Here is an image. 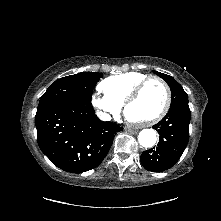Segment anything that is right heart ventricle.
<instances>
[{"label": "right heart ventricle", "mask_w": 221, "mask_h": 221, "mask_svg": "<svg viewBox=\"0 0 221 221\" xmlns=\"http://www.w3.org/2000/svg\"><path fill=\"white\" fill-rule=\"evenodd\" d=\"M147 77L140 72H126L104 79L99 88L105 96L122 106L131 91Z\"/></svg>", "instance_id": "right-heart-ventricle-1"}]
</instances>
